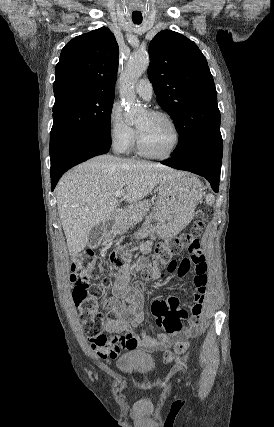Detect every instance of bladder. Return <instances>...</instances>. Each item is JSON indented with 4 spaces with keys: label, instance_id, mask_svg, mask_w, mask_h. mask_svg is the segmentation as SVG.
<instances>
[{
    "label": "bladder",
    "instance_id": "obj_1",
    "mask_svg": "<svg viewBox=\"0 0 274 427\" xmlns=\"http://www.w3.org/2000/svg\"><path fill=\"white\" fill-rule=\"evenodd\" d=\"M116 368L121 374L145 376L155 371L156 357L141 350H130L121 354Z\"/></svg>",
    "mask_w": 274,
    "mask_h": 427
}]
</instances>
